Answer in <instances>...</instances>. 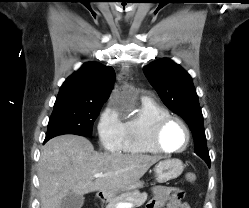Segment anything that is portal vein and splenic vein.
I'll return each instance as SVG.
<instances>
[{
    "mask_svg": "<svg viewBox=\"0 0 249 208\" xmlns=\"http://www.w3.org/2000/svg\"><path fill=\"white\" fill-rule=\"evenodd\" d=\"M109 174H94L95 178L99 177H107ZM133 205L131 203H118L116 208H132Z\"/></svg>",
    "mask_w": 249,
    "mask_h": 208,
    "instance_id": "obj_1",
    "label": "portal vein and splenic vein"
}]
</instances>
